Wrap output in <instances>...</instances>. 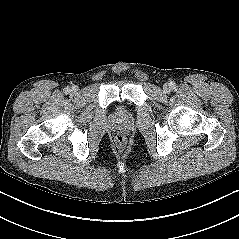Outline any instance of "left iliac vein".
Instances as JSON below:
<instances>
[{"label":"left iliac vein","mask_w":239,"mask_h":239,"mask_svg":"<svg viewBox=\"0 0 239 239\" xmlns=\"http://www.w3.org/2000/svg\"><path fill=\"white\" fill-rule=\"evenodd\" d=\"M169 90H170L169 86H168V85H165V86H164V91H165V92H169Z\"/></svg>","instance_id":"left-iliac-vein-1"}]
</instances>
